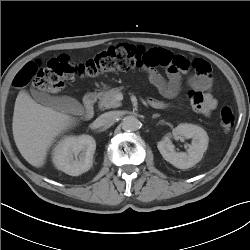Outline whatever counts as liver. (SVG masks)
<instances>
[{
  "instance_id": "liver-1",
  "label": "liver",
  "mask_w": 250,
  "mask_h": 250,
  "mask_svg": "<svg viewBox=\"0 0 250 250\" xmlns=\"http://www.w3.org/2000/svg\"><path fill=\"white\" fill-rule=\"evenodd\" d=\"M74 119L35 102L20 91L15 102L13 136L21 155L35 167H41L54 138L70 127Z\"/></svg>"
}]
</instances>
